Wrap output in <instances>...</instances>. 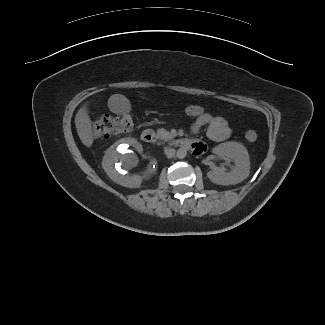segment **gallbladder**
<instances>
[{
	"mask_svg": "<svg viewBox=\"0 0 325 325\" xmlns=\"http://www.w3.org/2000/svg\"><path fill=\"white\" fill-rule=\"evenodd\" d=\"M129 110H130V108H123V105H119L113 109V112L116 114H124L125 112H128Z\"/></svg>",
	"mask_w": 325,
	"mask_h": 325,
	"instance_id": "1",
	"label": "gallbladder"
}]
</instances>
